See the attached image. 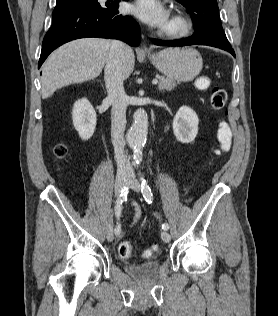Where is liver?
<instances>
[{
    "label": "liver",
    "mask_w": 278,
    "mask_h": 316,
    "mask_svg": "<svg viewBox=\"0 0 278 316\" xmlns=\"http://www.w3.org/2000/svg\"><path fill=\"white\" fill-rule=\"evenodd\" d=\"M110 47L111 41L107 39L82 38L58 48L42 68V97L46 99L62 87L98 77L105 66ZM134 65V52L127 47L122 63L123 79L130 76Z\"/></svg>",
    "instance_id": "obj_1"
}]
</instances>
